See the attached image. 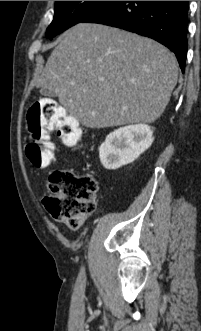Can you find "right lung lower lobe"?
Returning a JSON list of instances; mask_svg holds the SVG:
<instances>
[{"label": "right lung lower lobe", "instance_id": "1", "mask_svg": "<svg viewBox=\"0 0 201 331\" xmlns=\"http://www.w3.org/2000/svg\"><path fill=\"white\" fill-rule=\"evenodd\" d=\"M188 1H108L82 22L147 36L170 48L182 71L187 56Z\"/></svg>", "mask_w": 201, "mask_h": 331}]
</instances>
